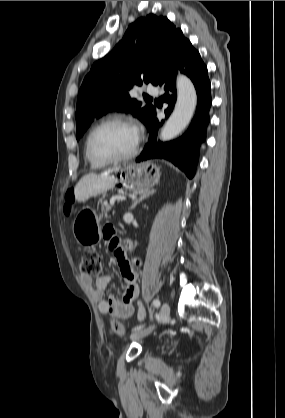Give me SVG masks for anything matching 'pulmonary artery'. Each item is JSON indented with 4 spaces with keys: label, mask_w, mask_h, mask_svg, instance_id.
I'll use <instances>...</instances> for the list:
<instances>
[{
    "label": "pulmonary artery",
    "mask_w": 285,
    "mask_h": 418,
    "mask_svg": "<svg viewBox=\"0 0 285 418\" xmlns=\"http://www.w3.org/2000/svg\"><path fill=\"white\" fill-rule=\"evenodd\" d=\"M146 93L152 96H158L160 94V90L158 87L149 86L146 88Z\"/></svg>",
    "instance_id": "e3ab8cb5"
}]
</instances>
